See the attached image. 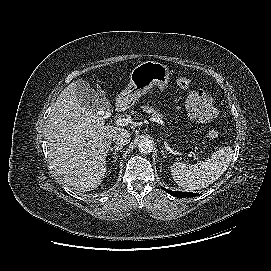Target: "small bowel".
<instances>
[{"label":"small bowel","instance_id":"1","mask_svg":"<svg viewBox=\"0 0 271 271\" xmlns=\"http://www.w3.org/2000/svg\"><path fill=\"white\" fill-rule=\"evenodd\" d=\"M189 119L208 123L218 115L213 99L204 90H195L186 101Z\"/></svg>","mask_w":271,"mask_h":271}]
</instances>
